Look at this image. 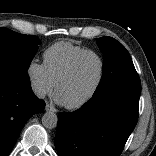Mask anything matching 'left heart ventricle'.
Returning <instances> with one entry per match:
<instances>
[{
  "label": "left heart ventricle",
  "instance_id": "1",
  "mask_svg": "<svg viewBox=\"0 0 156 156\" xmlns=\"http://www.w3.org/2000/svg\"><path fill=\"white\" fill-rule=\"evenodd\" d=\"M99 75V59L87 55L77 63L71 77L60 86L57 96L64 104L76 103L93 89Z\"/></svg>",
  "mask_w": 156,
  "mask_h": 156
}]
</instances>
